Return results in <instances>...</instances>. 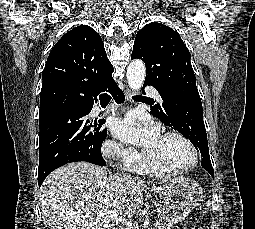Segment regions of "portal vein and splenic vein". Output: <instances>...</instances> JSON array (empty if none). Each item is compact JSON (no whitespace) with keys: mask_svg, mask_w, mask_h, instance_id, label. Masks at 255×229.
Instances as JSON below:
<instances>
[{"mask_svg":"<svg viewBox=\"0 0 255 229\" xmlns=\"http://www.w3.org/2000/svg\"><path fill=\"white\" fill-rule=\"evenodd\" d=\"M97 214L99 216L108 215L110 218L114 219L115 221L121 222L122 224L126 225L128 228L133 229L132 223L129 220H127V218L120 216L116 212H113L111 210H104V211L97 212ZM159 225L160 223L154 224L155 227H158Z\"/></svg>","mask_w":255,"mask_h":229,"instance_id":"obj_1","label":"portal vein and splenic vein"}]
</instances>
